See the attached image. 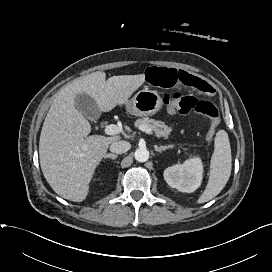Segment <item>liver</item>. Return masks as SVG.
<instances>
[{"instance_id":"1","label":"liver","mask_w":272,"mask_h":272,"mask_svg":"<svg viewBox=\"0 0 272 272\" xmlns=\"http://www.w3.org/2000/svg\"><path fill=\"white\" fill-rule=\"evenodd\" d=\"M145 82V75H120L106 80L102 71L91 73L58 92L47 113L39 140L43 175L51 188L64 199L82 202L89 183L109 145L119 136L91 135V125L76 108L75 99L87 94L102 112L126 104Z\"/></svg>"}]
</instances>
